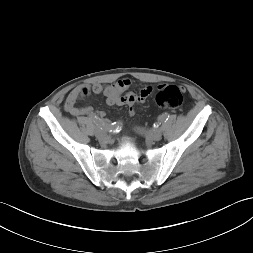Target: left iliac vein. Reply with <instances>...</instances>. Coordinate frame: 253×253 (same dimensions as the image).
Returning <instances> with one entry per match:
<instances>
[{
  "label": "left iliac vein",
  "instance_id": "obj_1",
  "mask_svg": "<svg viewBox=\"0 0 253 253\" xmlns=\"http://www.w3.org/2000/svg\"><path fill=\"white\" fill-rule=\"evenodd\" d=\"M137 132L140 134H144L149 140L159 141L162 138L161 129H156L154 131H144L141 128H137Z\"/></svg>",
  "mask_w": 253,
  "mask_h": 253
}]
</instances>
